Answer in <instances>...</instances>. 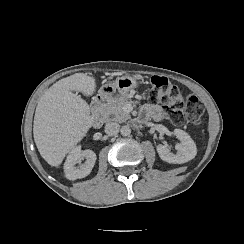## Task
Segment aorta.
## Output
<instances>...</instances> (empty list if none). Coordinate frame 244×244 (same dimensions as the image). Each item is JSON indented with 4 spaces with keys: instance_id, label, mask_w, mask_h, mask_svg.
Here are the masks:
<instances>
[{
    "instance_id": "1",
    "label": "aorta",
    "mask_w": 244,
    "mask_h": 244,
    "mask_svg": "<svg viewBox=\"0 0 244 244\" xmlns=\"http://www.w3.org/2000/svg\"><path fill=\"white\" fill-rule=\"evenodd\" d=\"M122 136H129L131 134V128L128 125H124L120 129Z\"/></svg>"
}]
</instances>
